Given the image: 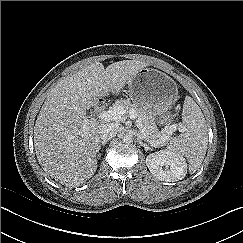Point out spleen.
Here are the masks:
<instances>
[{
    "label": "spleen",
    "mask_w": 243,
    "mask_h": 243,
    "mask_svg": "<svg viewBox=\"0 0 243 243\" xmlns=\"http://www.w3.org/2000/svg\"><path fill=\"white\" fill-rule=\"evenodd\" d=\"M183 134L174 138L167 150L185 155L189 162V171H197L207 151L208 128L204 115L197 103L186 96L183 104Z\"/></svg>",
    "instance_id": "spleen-1"
}]
</instances>
